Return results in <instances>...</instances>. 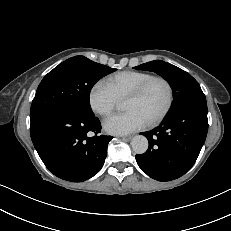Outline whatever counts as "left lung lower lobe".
Listing matches in <instances>:
<instances>
[{
	"label": "left lung lower lobe",
	"instance_id": "left-lung-lower-lobe-1",
	"mask_svg": "<svg viewBox=\"0 0 231 231\" xmlns=\"http://www.w3.org/2000/svg\"><path fill=\"white\" fill-rule=\"evenodd\" d=\"M208 132L205 95L183 101L155 129L143 132L149 149L136 155L139 167L151 178L170 181L194 165Z\"/></svg>",
	"mask_w": 231,
	"mask_h": 231
}]
</instances>
